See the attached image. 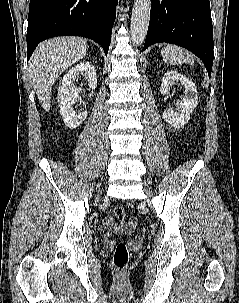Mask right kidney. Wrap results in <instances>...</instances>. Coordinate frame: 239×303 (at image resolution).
<instances>
[{
  "instance_id": "obj_1",
  "label": "right kidney",
  "mask_w": 239,
  "mask_h": 303,
  "mask_svg": "<svg viewBox=\"0 0 239 303\" xmlns=\"http://www.w3.org/2000/svg\"><path fill=\"white\" fill-rule=\"evenodd\" d=\"M80 74H84L88 86L91 89L97 87V76L95 67L88 61L81 62L72 67L63 77L58 88V103L60 114L66 126L70 129L77 128L87 117V111L76 113L73 104L78 98V89L74 86L73 80Z\"/></svg>"
}]
</instances>
